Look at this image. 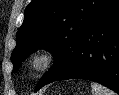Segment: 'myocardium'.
Masks as SVG:
<instances>
[{
    "label": "myocardium",
    "mask_w": 119,
    "mask_h": 95,
    "mask_svg": "<svg viewBox=\"0 0 119 95\" xmlns=\"http://www.w3.org/2000/svg\"><path fill=\"white\" fill-rule=\"evenodd\" d=\"M56 60V52L51 47H40L32 52L28 65L30 70L38 75L48 73Z\"/></svg>",
    "instance_id": "f54148a6"
}]
</instances>
